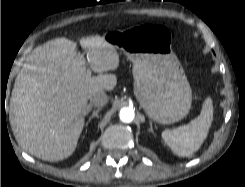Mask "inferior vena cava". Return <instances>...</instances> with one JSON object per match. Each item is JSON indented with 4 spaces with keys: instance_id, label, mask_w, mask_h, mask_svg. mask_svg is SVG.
<instances>
[{
    "instance_id": "obj_1",
    "label": "inferior vena cava",
    "mask_w": 245,
    "mask_h": 187,
    "mask_svg": "<svg viewBox=\"0 0 245 187\" xmlns=\"http://www.w3.org/2000/svg\"><path fill=\"white\" fill-rule=\"evenodd\" d=\"M89 99L92 106H104L108 102V96L103 91L92 94Z\"/></svg>"
}]
</instances>
